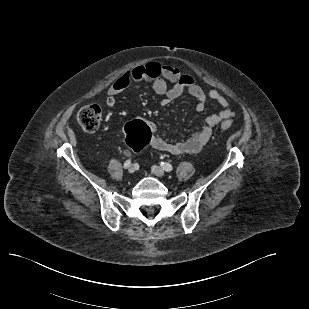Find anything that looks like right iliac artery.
<instances>
[{"mask_svg":"<svg viewBox=\"0 0 309 309\" xmlns=\"http://www.w3.org/2000/svg\"><path fill=\"white\" fill-rule=\"evenodd\" d=\"M130 164H131V160L130 159L126 160L124 163V168H128Z\"/></svg>","mask_w":309,"mask_h":309,"instance_id":"obj_1","label":"right iliac artery"}]
</instances>
